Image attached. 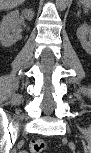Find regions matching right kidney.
Here are the masks:
<instances>
[{
  "label": "right kidney",
  "mask_w": 91,
  "mask_h": 153,
  "mask_svg": "<svg viewBox=\"0 0 91 153\" xmlns=\"http://www.w3.org/2000/svg\"><path fill=\"white\" fill-rule=\"evenodd\" d=\"M21 16H24L28 21H32L34 11L25 9L20 15L19 10H15L3 17L0 26V43L3 47H10L21 39V34L18 31Z\"/></svg>",
  "instance_id": "ca27d5eb"
}]
</instances>
